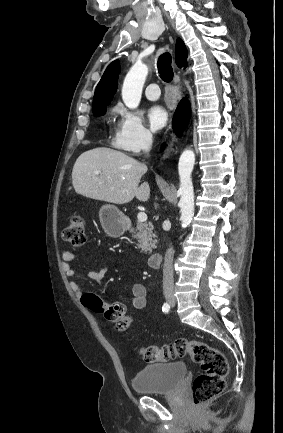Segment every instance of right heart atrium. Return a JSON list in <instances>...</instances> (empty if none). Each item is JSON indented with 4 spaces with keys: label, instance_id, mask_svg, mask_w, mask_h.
I'll list each match as a JSON object with an SVG mask.
<instances>
[{
    "label": "right heart atrium",
    "instance_id": "d8ad5b80",
    "mask_svg": "<svg viewBox=\"0 0 283 433\" xmlns=\"http://www.w3.org/2000/svg\"><path fill=\"white\" fill-rule=\"evenodd\" d=\"M114 112L119 121L114 128L111 145L129 155H139L153 143L151 133L145 128L141 115L117 104Z\"/></svg>",
    "mask_w": 283,
    "mask_h": 433
}]
</instances>
